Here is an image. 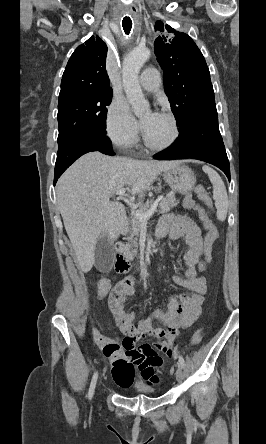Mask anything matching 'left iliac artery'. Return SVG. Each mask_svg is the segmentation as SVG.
<instances>
[{"label":"left iliac artery","instance_id":"1","mask_svg":"<svg viewBox=\"0 0 266 444\" xmlns=\"http://www.w3.org/2000/svg\"><path fill=\"white\" fill-rule=\"evenodd\" d=\"M179 364L184 368L185 367V361L182 356L179 357Z\"/></svg>","mask_w":266,"mask_h":444}]
</instances>
